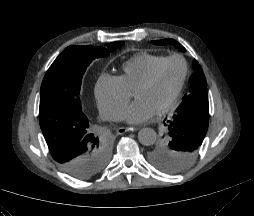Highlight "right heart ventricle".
<instances>
[{"label": "right heart ventricle", "mask_w": 254, "mask_h": 216, "mask_svg": "<svg viewBox=\"0 0 254 216\" xmlns=\"http://www.w3.org/2000/svg\"><path fill=\"white\" fill-rule=\"evenodd\" d=\"M163 58L164 55L151 52L137 53L123 63L118 78L129 92L134 91Z\"/></svg>", "instance_id": "right-heart-ventricle-1"}]
</instances>
